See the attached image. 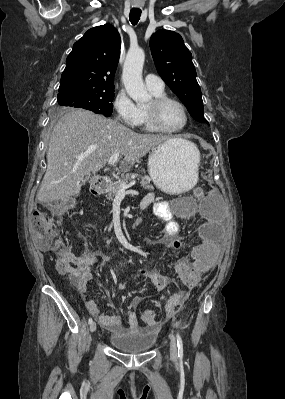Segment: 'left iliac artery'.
I'll return each mask as SVG.
<instances>
[{
  "mask_svg": "<svg viewBox=\"0 0 285 399\" xmlns=\"http://www.w3.org/2000/svg\"><path fill=\"white\" fill-rule=\"evenodd\" d=\"M176 338H177V347H178V357H182L183 356V342H182V338L179 335V333L176 334Z\"/></svg>",
  "mask_w": 285,
  "mask_h": 399,
  "instance_id": "obj_1",
  "label": "left iliac artery"
}]
</instances>
